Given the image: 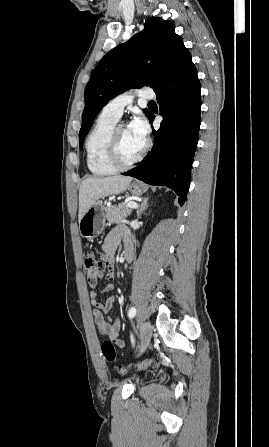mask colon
I'll return each mask as SVG.
<instances>
[{
	"label": "colon",
	"mask_w": 269,
	"mask_h": 447,
	"mask_svg": "<svg viewBox=\"0 0 269 447\" xmlns=\"http://www.w3.org/2000/svg\"><path fill=\"white\" fill-rule=\"evenodd\" d=\"M106 267L105 255L101 252H89L83 259L84 275L87 283L91 288L99 284L102 279L104 269ZM101 352L108 362H114L117 359V351L111 342H103L101 345ZM145 364L137 365H119L117 373L119 375H126L133 370H142Z\"/></svg>",
	"instance_id": "obj_1"
}]
</instances>
